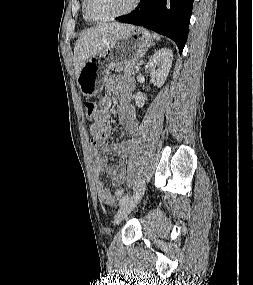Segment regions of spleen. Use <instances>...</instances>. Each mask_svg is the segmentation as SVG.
<instances>
[{"mask_svg": "<svg viewBox=\"0 0 253 285\" xmlns=\"http://www.w3.org/2000/svg\"><path fill=\"white\" fill-rule=\"evenodd\" d=\"M153 37H154V39H156V40H158V41L160 40V36L157 35L156 33L153 34Z\"/></svg>", "mask_w": 253, "mask_h": 285, "instance_id": "spleen-1", "label": "spleen"}]
</instances>
